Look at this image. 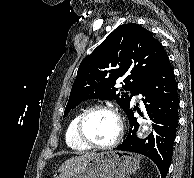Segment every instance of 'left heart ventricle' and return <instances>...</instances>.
Wrapping results in <instances>:
<instances>
[{"mask_svg": "<svg viewBox=\"0 0 194 178\" xmlns=\"http://www.w3.org/2000/svg\"><path fill=\"white\" fill-rule=\"evenodd\" d=\"M86 137L97 144L110 143L118 131L116 118L109 112L98 110L90 113L84 121Z\"/></svg>", "mask_w": 194, "mask_h": 178, "instance_id": "left-heart-ventricle-1", "label": "left heart ventricle"}]
</instances>
